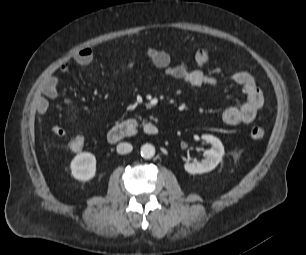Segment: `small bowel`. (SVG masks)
<instances>
[{
	"label": "small bowel",
	"mask_w": 306,
	"mask_h": 255,
	"mask_svg": "<svg viewBox=\"0 0 306 255\" xmlns=\"http://www.w3.org/2000/svg\"><path fill=\"white\" fill-rule=\"evenodd\" d=\"M146 61L149 65L163 70L167 76L179 80L184 84L193 87L216 86L217 78L213 74L205 73L201 69L192 68L188 62L182 61L173 64L168 52L160 49L149 48L145 52ZM93 59V52L90 48L80 49L73 57L72 62L78 66L89 64ZM195 63L200 66L210 64V51L207 48H200L194 55ZM71 66L66 62L61 66V71L66 72ZM232 80L239 85L244 93V101L239 106H230L223 110L222 121L229 126L249 124L253 122L258 111L262 108L264 98L254 77L246 71H239L233 74ZM59 76L50 75L41 84L39 95L36 99V109L40 115H45L49 108V100L58 95ZM52 132L58 137H65L66 130L58 125L52 127Z\"/></svg>",
	"instance_id": "c3829d8e"
}]
</instances>
